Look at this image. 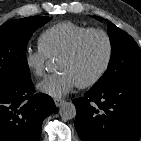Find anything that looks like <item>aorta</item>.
<instances>
[{
	"instance_id": "obj_1",
	"label": "aorta",
	"mask_w": 141,
	"mask_h": 141,
	"mask_svg": "<svg viewBox=\"0 0 141 141\" xmlns=\"http://www.w3.org/2000/svg\"><path fill=\"white\" fill-rule=\"evenodd\" d=\"M59 114L63 120H71L76 116V107L72 102H64L59 108Z\"/></svg>"
}]
</instances>
